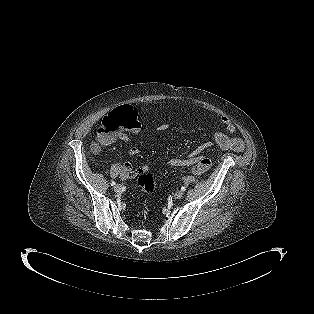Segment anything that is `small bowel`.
<instances>
[{
  "label": "small bowel",
  "mask_w": 314,
  "mask_h": 314,
  "mask_svg": "<svg viewBox=\"0 0 314 314\" xmlns=\"http://www.w3.org/2000/svg\"><path fill=\"white\" fill-rule=\"evenodd\" d=\"M221 124L225 128L224 131H216L214 133V142L217 145L218 150L220 151H242L244 149V143L241 139L237 137H233L232 133L234 131V125L231 122L230 119L223 117L221 119ZM139 128H135L131 130L132 133L136 134L139 132ZM169 128V124L167 123H161L157 126L158 131H165ZM116 140H121L123 142H129L130 141V135L128 133H119L115 136H113L109 141L104 142L100 144L99 146L105 147L111 145L113 142ZM212 143H205L198 148H196L192 153H190L187 157L185 158H172L169 160V164L173 167H183V166H193L195 165L198 160L201 157V153L211 146ZM140 152V149L137 146H132L129 151L128 155L133 157L137 155ZM139 167H144L146 170H148V167L146 165L139 166ZM133 168V166L129 162H123L122 164V177L129 179L133 178L136 175H138V169Z\"/></svg>",
  "instance_id": "c3829d8e"
}]
</instances>
